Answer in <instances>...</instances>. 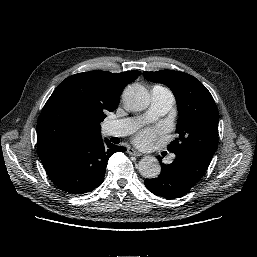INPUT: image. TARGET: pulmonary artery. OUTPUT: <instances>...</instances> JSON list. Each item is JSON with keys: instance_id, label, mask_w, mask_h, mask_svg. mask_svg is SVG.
<instances>
[{"instance_id": "1", "label": "pulmonary artery", "mask_w": 257, "mask_h": 257, "mask_svg": "<svg viewBox=\"0 0 257 257\" xmlns=\"http://www.w3.org/2000/svg\"><path fill=\"white\" fill-rule=\"evenodd\" d=\"M175 101L173 93L163 86H154L151 90V103L145 116L146 119H156L166 114ZM140 123L138 119H120L106 124L105 133L109 136H125L131 133Z\"/></svg>"}]
</instances>
